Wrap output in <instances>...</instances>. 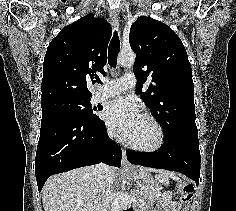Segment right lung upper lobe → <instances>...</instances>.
Wrapping results in <instances>:
<instances>
[{
	"label": "right lung upper lobe",
	"mask_w": 236,
	"mask_h": 211,
	"mask_svg": "<svg viewBox=\"0 0 236 211\" xmlns=\"http://www.w3.org/2000/svg\"><path fill=\"white\" fill-rule=\"evenodd\" d=\"M111 26L93 14L63 28L50 42L43 63L41 104L58 98L87 99V82L104 73Z\"/></svg>",
	"instance_id": "1"
}]
</instances>
